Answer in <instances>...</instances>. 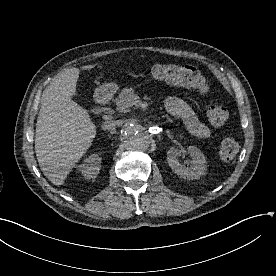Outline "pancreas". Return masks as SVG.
<instances>
[{
  "instance_id": "cf45deb5",
  "label": "pancreas",
  "mask_w": 276,
  "mask_h": 276,
  "mask_svg": "<svg viewBox=\"0 0 276 276\" xmlns=\"http://www.w3.org/2000/svg\"><path fill=\"white\" fill-rule=\"evenodd\" d=\"M134 96H135V93L132 88H124L120 92L118 98H116L114 101L121 112H126L127 108L129 107L127 106V102L130 98Z\"/></svg>"
}]
</instances>
